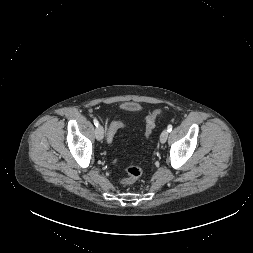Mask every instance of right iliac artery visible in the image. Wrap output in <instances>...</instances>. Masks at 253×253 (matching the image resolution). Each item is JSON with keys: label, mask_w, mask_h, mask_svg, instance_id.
<instances>
[{"label": "right iliac artery", "mask_w": 253, "mask_h": 253, "mask_svg": "<svg viewBox=\"0 0 253 253\" xmlns=\"http://www.w3.org/2000/svg\"><path fill=\"white\" fill-rule=\"evenodd\" d=\"M93 122H94V125L96 126V127H98L99 126V122L97 121V119H93Z\"/></svg>", "instance_id": "82829eb1"}]
</instances>
